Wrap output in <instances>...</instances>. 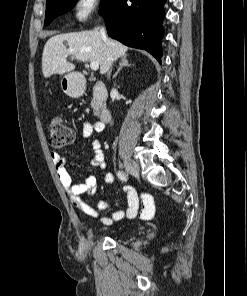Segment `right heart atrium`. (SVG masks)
I'll return each instance as SVG.
<instances>
[{
    "label": "right heart atrium",
    "mask_w": 247,
    "mask_h": 296,
    "mask_svg": "<svg viewBox=\"0 0 247 296\" xmlns=\"http://www.w3.org/2000/svg\"><path fill=\"white\" fill-rule=\"evenodd\" d=\"M99 0H74L71 11L73 19L85 22L96 12Z\"/></svg>",
    "instance_id": "obj_1"
}]
</instances>
